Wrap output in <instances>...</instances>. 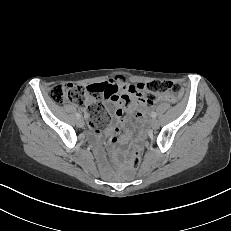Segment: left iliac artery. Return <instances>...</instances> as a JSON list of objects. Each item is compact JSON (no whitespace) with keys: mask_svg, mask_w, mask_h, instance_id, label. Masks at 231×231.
<instances>
[{"mask_svg":"<svg viewBox=\"0 0 231 231\" xmlns=\"http://www.w3.org/2000/svg\"><path fill=\"white\" fill-rule=\"evenodd\" d=\"M151 116H152L153 118H155V117L157 116L156 112H152V113H151Z\"/></svg>","mask_w":231,"mask_h":231,"instance_id":"44dca946","label":"left iliac artery"}]
</instances>
